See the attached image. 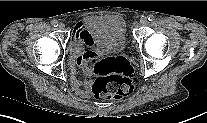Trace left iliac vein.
I'll use <instances>...</instances> for the list:
<instances>
[{
  "mask_svg": "<svg viewBox=\"0 0 207 123\" xmlns=\"http://www.w3.org/2000/svg\"><path fill=\"white\" fill-rule=\"evenodd\" d=\"M147 23V18L146 17H142L141 19H140V24L141 25H145Z\"/></svg>",
  "mask_w": 207,
  "mask_h": 123,
  "instance_id": "obj_1",
  "label": "left iliac vein"
}]
</instances>
